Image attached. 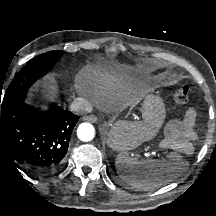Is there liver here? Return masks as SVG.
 Returning <instances> with one entry per match:
<instances>
[{"instance_id": "6515ba94", "label": "liver", "mask_w": 216, "mask_h": 216, "mask_svg": "<svg viewBox=\"0 0 216 216\" xmlns=\"http://www.w3.org/2000/svg\"><path fill=\"white\" fill-rule=\"evenodd\" d=\"M51 89L54 90V88H51ZM52 93H53V91H52ZM128 94L130 96L128 97L127 104L131 107H134L135 105H137L139 103L142 96L139 94H136L133 91H129Z\"/></svg>"}]
</instances>
